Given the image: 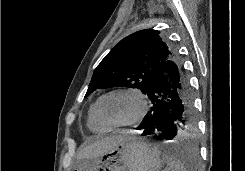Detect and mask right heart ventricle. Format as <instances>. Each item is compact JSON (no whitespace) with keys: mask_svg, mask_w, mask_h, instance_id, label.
I'll return each instance as SVG.
<instances>
[{"mask_svg":"<svg viewBox=\"0 0 245 171\" xmlns=\"http://www.w3.org/2000/svg\"><path fill=\"white\" fill-rule=\"evenodd\" d=\"M95 105L96 102H94L89 109L88 112V117H87V126L89 127V129L93 132L96 133H105L109 130L108 127H106L105 125H103L96 117L95 114Z\"/></svg>","mask_w":245,"mask_h":171,"instance_id":"right-heart-ventricle-1","label":"right heart ventricle"}]
</instances>
